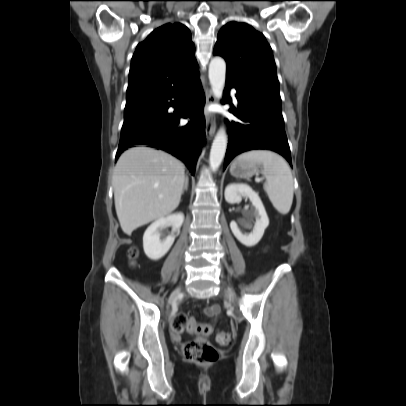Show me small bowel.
Instances as JSON below:
<instances>
[{"label":"small bowel","instance_id":"c3829d8e","mask_svg":"<svg viewBox=\"0 0 406 406\" xmlns=\"http://www.w3.org/2000/svg\"><path fill=\"white\" fill-rule=\"evenodd\" d=\"M203 312H204V314L206 316H218L219 313H220V309H219V306L212 305V306L204 308ZM210 332H206V333H203V334H209ZM173 337H174L175 340H179L180 339V334L174 332Z\"/></svg>","mask_w":406,"mask_h":406}]
</instances>
